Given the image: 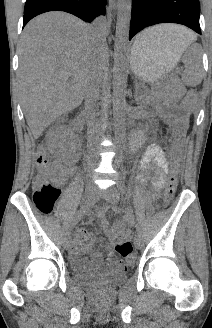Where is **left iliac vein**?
<instances>
[{
	"instance_id": "left-iliac-vein-1",
	"label": "left iliac vein",
	"mask_w": 212,
	"mask_h": 328,
	"mask_svg": "<svg viewBox=\"0 0 212 328\" xmlns=\"http://www.w3.org/2000/svg\"><path fill=\"white\" fill-rule=\"evenodd\" d=\"M103 194H104L105 198H106L109 202H111V203H113V204L118 203V201H119V192H118V190L116 189V187H111V188H109V189H108L106 192H104ZM134 245H135V247H136L137 249H140L141 246H142V238H141V236L138 235V234L134 237Z\"/></svg>"
}]
</instances>
